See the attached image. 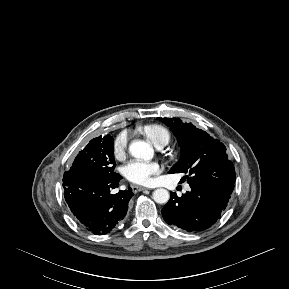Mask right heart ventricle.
Here are the masks:
<instances>
[{
    "label": "right heart ventricle",
    "mask_w": 289,
    "mask_h": 289,
    "mask_svg": "<svg viewBox=\"0 0 289 289\" xmlns=\"http://www.w3.org/2000/svg\"><path fill=\"white\" fill-rule=\"evenodd\" d=\"M141 131L156 147H164L170 141L169 131L161 125L150 124L143 127Z\"/></svg>",
    "instance_id": "1"
}]
</instances>
